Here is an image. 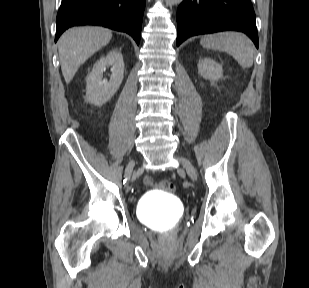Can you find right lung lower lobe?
Wrapping results in <instances>:
<instances>
[{"instance_id": "obj_1", "label": "right lung lower lobe", "mask_w": 309, "mask_h": 288, "mask_svg": "<svg viewBox=\"0 0 309 288\" xmlns=\"http://www.w3.org/2000/svg\"><path fill=\"white\" fill-rule=\"evenodd\" d=\"M146 0H62L55 42L71 26L99 25L130 34L140 42Z\"/></svg>"}]
</instances>
